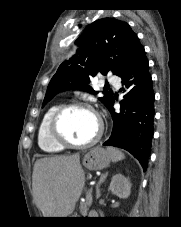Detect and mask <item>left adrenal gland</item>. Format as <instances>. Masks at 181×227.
Listing matches in <instances>:
<instances>
[{
  "instance_id": "left-adrenal-gland-1",
  "label": "left adrenal gland",
  "mask_w": 181,
  "mask_h": 227,
  "mask_svg": "<svg viewBox=\"0 0 181 227\" xmlns=\"http://www.w3.org/2000/svg\"><path fill=\"white\" fill-rule=\"evenodd\" d=\"M107 176H108V172H106L105 174H102L98 184L96 185V194H97L96 198L97 199H99L100 196H101V194H100V185L105 181Z\"/></svg>"
}]
</instances>
